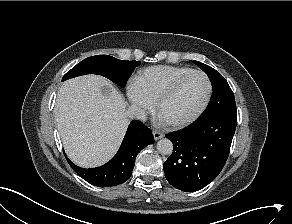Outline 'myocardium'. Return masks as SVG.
<instances>
[{
    "mask_svg": "<svg viewBox=\"0 0 292 224\" xmlns=\"http://www.w3.org/2000/svg\"><path fill=\"white\" fill-rule=\"evenodd\" d=\"M200 75L203 76L207 82V94L205 97V100L203 101L202 105L200 108L189 118L178 121V122H172V123H167L168 126H170L173 129H181L184 127L189 126L193 122H195L207 109L212 93H213V85L210 77L203 71L195 70L193 72H190L188 74H185L184 76L180 77L178 80H176L170 87H168L161 95L157 98L156 103H155V109L156 112L159 114V110L161 106L169 100L172 96H174L177 91L181 88V86L191 77Z\"/></svg>",
    "mask_w": 292,
    "mask_h": 224,
    "instance_id": "obj_1",
    "label": "myocardium"
}]
</instances>
